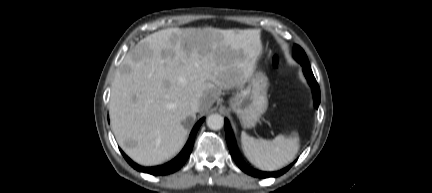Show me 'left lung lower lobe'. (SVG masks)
<instances>
[{
	"label": "left lung lower lobe",
	"instance_id": "0a47b994",
	"mask_svg": "<svg viewBox=\"0 0 432 193\" xmlns=\"http://www.w3.org/2000/svg\"><path fill=\"white\" fill-rule=\"evenodd\" d=\"M302 66H303V71L305 74V77L308 80V83L310 84V86L312 87V91H313V95H314V100H315V107L318 108L319 104H320V89L319 86L316 82V79L313 75V72L310 68L309 62H299ZM225 135H226V140H227V144L230 150V153L233 157V159L235 160V162L237 163V165L247 174L254 176V177H260V178H266V177H277L282 175L283 173H285L292 165H289L288 167L277 171V172H262V171H258L255 170L251 167H249L244 161L243 159L240 157L235 142H234V138H233V134L230 128V125L228 123V121L225 119Z\"/></svg>",
	"mask_w": 432,
	"mask_h": 193
}]
</instances>
